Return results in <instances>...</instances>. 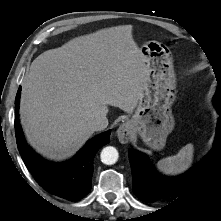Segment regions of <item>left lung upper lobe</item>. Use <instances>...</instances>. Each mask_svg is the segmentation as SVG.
<instances>
[{"label":"left lung upper lobe","mask_w":221,"mask_h":221,"mask_svg":"<svg viewBox=\"0 0 221 221\" xmlns=\"http://www.w3.org/2000/svg\"><path fill=\"white\" fill-rule=\"evenodd\" d=\"M216 99H220V101H221V95L218 92H216V94L213 97V103H215Z\"/></svg>","instance_id":"left-lung-upper-lobe-1"}]
</instances>
